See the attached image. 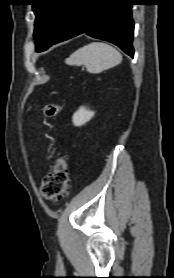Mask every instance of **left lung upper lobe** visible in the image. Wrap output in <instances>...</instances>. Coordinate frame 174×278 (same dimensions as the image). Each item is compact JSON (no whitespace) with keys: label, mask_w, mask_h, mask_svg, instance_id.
Listing matches in <instances>:
<instances>
[{"label":"left lung upper lobe","mask_w":174,"mask_h":278,"mask_svg":"<svg viewBox=\"0 0 174 278\" xmlns=\"http://www.w3.org/2000/svg\"><path fill=\"white\" fill-rule=\"evenodd\" d=\"M77 0H34V38L36 51L42 52L56 43L76 7Z\"/></svg>","instance_id":"1"}]
</instances>
